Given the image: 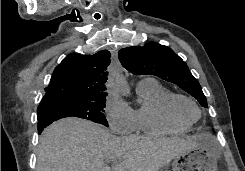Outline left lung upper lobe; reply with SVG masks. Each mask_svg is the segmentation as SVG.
I'll return each mask as SVG.
<instances>
[{
	"label": "left lung upper lobe",
	"mask_w": 245,
	"mask_h": 171,
	"mask_svg": "<svg viewBox=\"0 0 245 171\" xmlns=\"http://www.w3.org/2000/svg\"><path fill=\"white\" fill-rule=\"evenodd\" d=\"M118 58L129 72L134 75L151 74L172 82L195 97L207 108V100L201 86L187 64L171 48L155 42L143 47H127L119 50Z\"/></svg>",
	"instance_id": "obj_1"
}]
</instances>
